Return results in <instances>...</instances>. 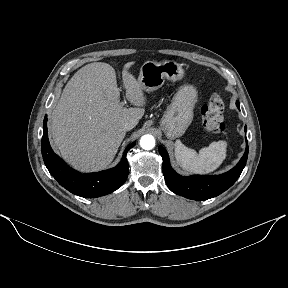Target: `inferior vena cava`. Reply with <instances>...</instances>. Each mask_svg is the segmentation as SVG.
<instances>
[{
	"instance_id": "602c4592",
	"label": "inferior vena cava",
	"mask_w": 288,
	"mask_h": 288,
	"mask_svg": "<svg viewBox=\"0 0 288 288\" xmlns=\"http://www.w3.org/2000/svg\"><path fill=\"white\" fill-rule=\"evenodd\" d=\"M137 123L138 122L136 120L130 119L124 123L123 128L125 131H129V130L133 129L137 125Z\"/></svg>"
}]
</instances>
